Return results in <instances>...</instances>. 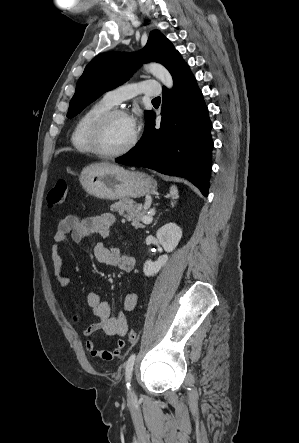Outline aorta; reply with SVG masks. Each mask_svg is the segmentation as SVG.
Returning <instances> with one entry per match:
<instances>
[{"label": "aorta", "mask_w": 299, "mask_h": 443, "mask_svg": "<svg viewBox=\"0 0 299 443\" xmlns=\"http://www.w3.org/2000/svg\"><path fill=\"white\" fill-rule=\"evenodd\" d=\"M145 71L151 73L158 80L161 81L163 85L171 89L173 87V79L168 70L158 63H150L144 66Z\"/></svg>", "instance_id": "obj_1"}]
</instances>
